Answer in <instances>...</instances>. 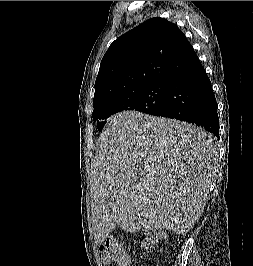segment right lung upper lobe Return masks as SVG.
<instances>
[{
    "mask_svg": "<svg viewBox=\"0 0 253 266\" xmlns=\"http://www.w3.org/2000/svg\"><path fill=\"white\" fill-rule=\"evenodd\" d=\"M197 60L176 24L159 17L149 19L110 45L95 81L93 105L152 82H169Z\"/></svg>",
    "mask_w": 253,
    "mask_h": 266,
    "instance_id": "1",
    "label": "right lung upper lobe"
}]
</instances>
